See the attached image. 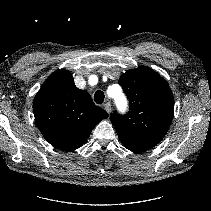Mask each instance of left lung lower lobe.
Wrapping results in <instances>:
<instances>
[{
	"label": "left lung lower lobe",
	"mask_w": 211,
	"mask_h": 211,
	"mask_svg": "<svg viewBox=\"0 0 211 211\" xmlns=\"http://www.w3.org/2000/svg\"><path fill=\"white\" fill-rule=\"evenodd\" d=\"M126 148L135 153H141L147 150V149H141V148H130V147H126Z\"/></svg>",
	"instance_id": "1"
}]
</instances>
